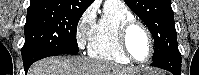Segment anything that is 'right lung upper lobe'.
<instances>
[{
	"label": "right lung upper lobe",
	"instance_id": "1",
	"mask_svg": "<svg viewBox=\"0 0 199 75\" xmlns=\"http://www.w3.org/2000/svg\"><path fill=\"white\" fill-rule=\"evenodd\" d=\"M94 0H31L30 7L60 6L85 11Z\"/></svg>",
	"mask_w": 199,
	"mask_h": 75
}]
</instances>
